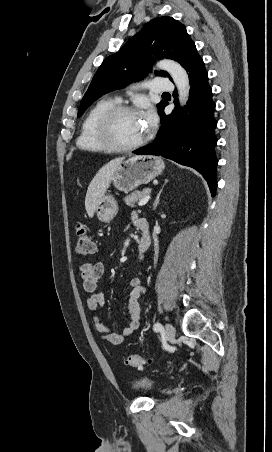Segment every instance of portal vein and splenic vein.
I'll use <instances>...</instances> for the list:
<instances>
[{"instance_id":"obj_1","label":"portal vein and splenic vein","mask_w":272,"mask_h":452,"mask_svg":"<svg viewBox=\"0 0 272 452\" xmlns=\"http://www.w3.org/2000/svg\"><path fill=\"white\" fill-rule=\"evenodd\" d=\"M150 197H151V196H150L149 194L146 195L144 198H142V199L138 202V205H139V206L145 205V204L149 201Z\"/></svg>"}]
</instances>
